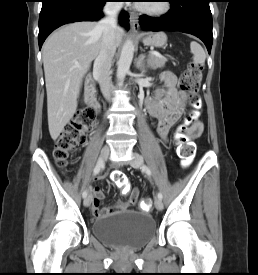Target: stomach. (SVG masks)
Wrapping results in <instances>:
<instances>
[{"mask_svg": "<svg viewBox=\"0 0 258 275\" xmlns=\"http://www.w3.org/2000/svg\"><path fill=\"white\" fill-rule=\"evenodd\" d=\"M145 45L154 47H163L167 42V36L164 32H153L142 36Z\"/></svg>", "mask_w": 258, "mask_h": 275, "instance_id": "stomach-1", "label": "stomach"}]
</instances>
